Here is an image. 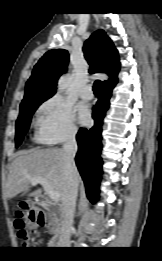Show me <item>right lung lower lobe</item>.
<instances>
[{"instance_id": "obj_1", "label": "right lung lower lobe", "mask_w": 162, "mask_h": 261, "mask_svg": "<svg viewBox=\"0 0 162 261\" xmlns=\"http://www.w3.org/2000/svg\"><path fill=\"white\" fill-rule=\"evenodd\" d=\"M113 88L102 89L98 102L93 108L92 117L95 125L87 130L81 128L76 136L78 142V152L76 155V165L82 176L86 187L87 197L92 203L99 198V185L102 173V150L101 133L105 113L109 108V99Z\"/></svg>"}]
</instances>
